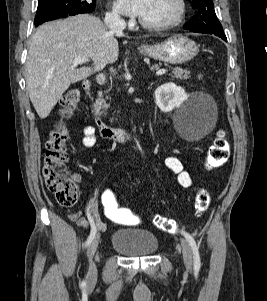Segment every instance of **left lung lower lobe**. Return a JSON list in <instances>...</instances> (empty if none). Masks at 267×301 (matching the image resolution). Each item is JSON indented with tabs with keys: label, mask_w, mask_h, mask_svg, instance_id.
<instances>
[{
	"label": "left lung lower lobe",
	"mask_w": 267,
	"mask_h": 301,
	"mask_svg": "<svg viewBox=\"0 0 267 301\" xmlns=\"http://www.w3.org/2000/svg\"><path fill=\"white\" fill-rule=\"evenodd\" d=\"M218 37H221L224 41H227V38H226V35L225 34H222V35H216Z\"/></svg>",
	"instance_id": "0a47b994"
}]
</instances>
